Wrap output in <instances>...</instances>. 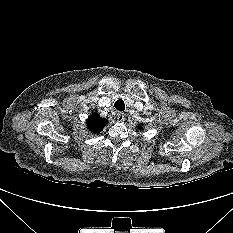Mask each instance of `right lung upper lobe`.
Instances as JSON below:
<instances>
[{"label": "right lung upper lobe", "instance_id": "1", "mask_svg": "<svg viewBox=\"0 0 233 233\" xmlns=\"http://www.w3.org/2000/svg\"><path fill=\"white\" fill-rule=\"evenodd\" d=\"M86 123L88 129L95 134L99 133L104 128V126L107 124V120L101 118L96 113H93L92 116L88 117Z\"/></svg>", "mask_w": 233, "mask_h": 233}]
</instances>
